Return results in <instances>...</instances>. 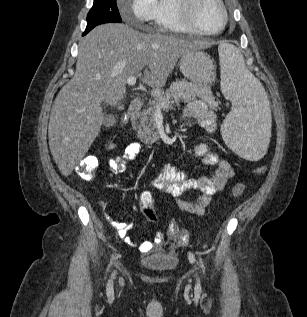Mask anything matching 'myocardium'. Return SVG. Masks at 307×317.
Wrapping results in <instances>:
<instances>
[{
    "label": "myocardium",
    "mask_w": 307,
    "mask_h": 317,
    "mask_svg": "<svg viewBox=\"0 0 307 317\" xmlns=\"http://www.w3.org/2000/svg\"><path fill=\"white\" fill-rule=\"evenodd\" d=\"M215 1L219 4L222 11V23L217 30L205 31L197 25L195 20V9L200 0H177L179 14L185 26L193 33L204 36L216 35L222 32L228 23L229 14L223 0Z\"/></svg>",
    "instance_id": "obj_1"
}]
</instances>
